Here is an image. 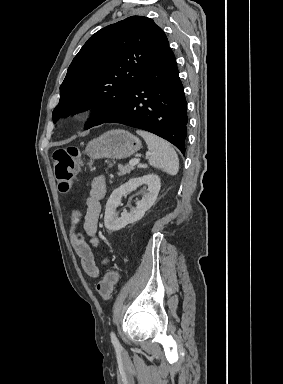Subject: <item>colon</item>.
<instances>
[{
  "mask_svg": "<svg viewBox=\"0 0 283 384\" xmlns=\"http://www.w3.org/2000/svg\"><path fill=\"white\" fill-rule=\"evenodd\" d=\"M79 151L76 147L70 146L54 151L52 159L54 164L55 177L59 189L63 192L68 191L73 183L78 170ZM79 240L83 237L79 235ZM118 273L115 270L108 271L97 284V291L100 297L108 300L118 281Z\"/></svg>",
  "mask_w": 283,
  "mask_h": 384,
  "instance_id": "5ec220e1",
  "label": "colon"
}]
</instances>
